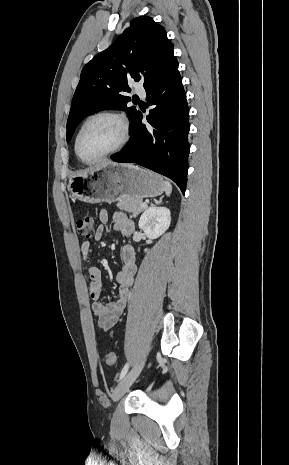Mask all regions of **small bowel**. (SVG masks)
Wrapping results in <instances>:
<instances>
[{
	"mask_svg": "<svg viewBox=\"0 0 289 465\" xmlns=\"http://www.w3.org/2000/svg\"><path fill=\"white\" fill-rule=\"evenodd\" d=\"M99 220L101 224L97 227L94 236L96 241H100L105 235V225L109 221V213L107 210H101L99 212ZM112 221L115 231L125 236H130L133 233V223L123 212H115L112 215ZM80 250L83 259L87 260L91 250V243L89 241H84L81 244ZM120 257L121 265L116 275L118 296L115 300L107 303L100 301L102 295L101 271L93 265H88L86 269L89 277V294L94 301L92 304V311L97 319L98 326L105 331L111 329L117 323L124 311L136 273L135 251L131 245L126 244L122 247Z\"/></svg>",
	"mask_w": 289,
	"mask_h": 465,
	"instance_id": "c3829d8e",
	"label": "small bowel"
}]
</instances>
